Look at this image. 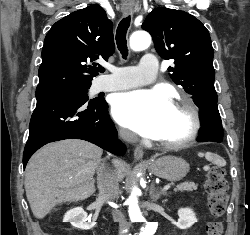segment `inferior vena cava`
<instances>
[{"label": "inferior vena cava", "mask_w": 250, "mask_h": 235, "mask_svg": "<svg viewBox=\"0 0 250 235\" xmlns=\"http://www.w3.org/2000/svg\"><path fill=\"white\" fill-rule=\"evenodd\" d=\"M119 137L127 142H132L135 140V135L132 132L126 130H120ZM97 184L100 199L114 200L118 197V179L114 170H110L104 165H101L97 172ZM112 215L114 221L119 222L120 229L129 227V224L121 211H113Z\"/></svg>", "instance_id": "obj_1"}]
</instances>
